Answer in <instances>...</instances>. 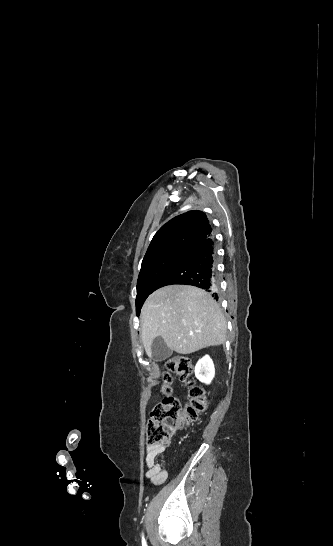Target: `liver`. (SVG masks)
Segmentation results:
<instances>
[{"mask_svg":"<svg viewBox=\"0 0 333 546\" xmlns=\"http://www.w3.org/2000/svg\"><path fill=\"white\" fill-rule=\"evenodd\" d=\"M141 338L146 354L161 336L166 346L179 354L221 345L227 324L217 302L202 289L168 285L153 292L141 311Z\"/></svg>","mask_w":333,"mask_h":546,"instance_id":"liver-1","label":"liver"}]
</instances>
